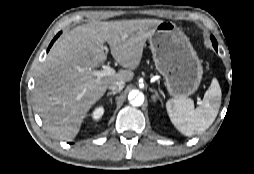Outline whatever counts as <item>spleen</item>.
Segmentation results:
<instances>
[{"label":"spleen","instance_id":"3e777b00","mask_svg":"<svg viewBox=\"0 0 254 174\" xmlns=\"http://www.w3.org/2000/svg\"><path fill=\"white\" fill-rule=\"evenodd\" d=\"M221 88L216 79L206 91L200 106L194 108L191 99L180 97L166 103L173 125L184 135L192 136L206 131L215 121L221 105Z\"/></svg>","mask_w":254,"mask_h":174}]
</instances>
